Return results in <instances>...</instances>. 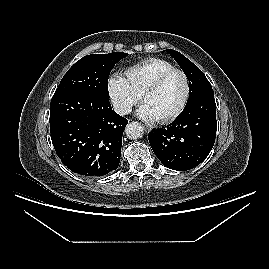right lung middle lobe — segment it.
Here are the masks:
<instances>
[{
    "label": "right lung middle lobe",
    "mask_w": 269,
    "mask_h": 269,
    "mask_svg": "<svg viewBox=\"0 0 269 269\" xmlns=\"http://www.w3.org/2000/svg\"><path fill=\"white\" fill-rule=\"evenodd\" d=\"M127 53L91 54L77 61L62 78L55 95L69 92L92 94L109 100L108 77Z\"/></svg>",
    "instance_id": "right-lung-middle-lobe-1"
}]
</instances>
